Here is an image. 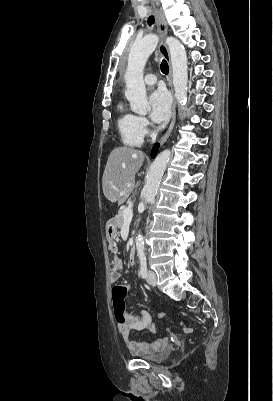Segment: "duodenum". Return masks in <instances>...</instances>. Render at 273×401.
I'll use <instances>...</instances> for the list:
<instances>
[{"label": "duodenum", "mask_w": 273, "mask_h": 401, "mask_svg": "<svg viewBox=\"0 0 273 401\" xmlns=\"http://www.w3.org/2000/svg\"><path fill=\"white\" fill-rule=\"evenodd\" d=\"M135 257H136V249H135V246L132 245L130 247V250H129V259H130V261L133 262L135 260Z\"/></svg>", "instance_id": "obj_1"}]
</instances>
